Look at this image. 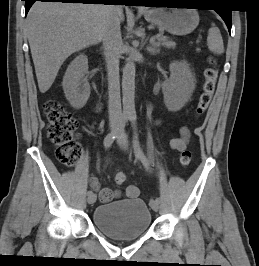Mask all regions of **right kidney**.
Returning a JSON list of instances; mask_svg holds the SVG:
<instances>
[{
  "label": "right kidney",
  "instance_id": "ca27d5eb",
  "mask_svg": "<svg viewBox=\"0 0 259 266\" xmlns=\"http://www.w3.org/2000/svg\"><path fill=\"white\" fill-rule=\"evenodd\" d=\"M87 72V56L80 54L70 63L63 77L65 97L75 109L83 108L90 96V85L85 77Z\"/></svg>",
  "mask_w": 259,
  "mask_h": 266
}]
</instances>
